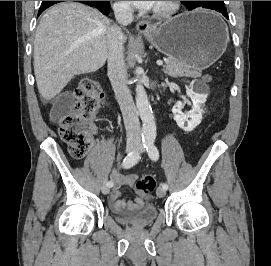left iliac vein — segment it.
<instances>
[{
	"mask_svg": "<svg viewBox=\"0 0 271 266\" xmlns=\"http://www.w3.org/2000/svg\"><path fill=\"white\" fill-rule=\"evenodd\" d=\"M156 194L159 198H163L166 195V190L162 187H158L156 190Z\"/></svg>",
	"mask_w": 271,
	"mask_h": 266,
	"instance_id": "left-iliac-vein-1",
	"label": "left iliac vein"
}]
</instances>
